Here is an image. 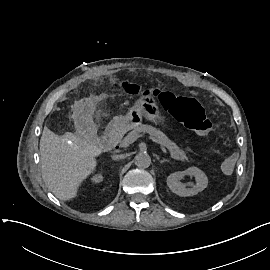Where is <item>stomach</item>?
<instances>
[{"instance_id":"stomach-1","label":"stomach","mask_w":270,"mask_h":270,"mask_svg":"<svg viewBox=\"0 0 270 270\" xmlns=\"http://www.w3.org/2000/svg\"><path fill=\"white\" fill-rule=\"evenodd\" d=\"M143 118L162 127H168L167 118L160 107L152 90L143 92L121 118V125L126 130H131L142 124Z\"/></svg>"}]
</instances>
